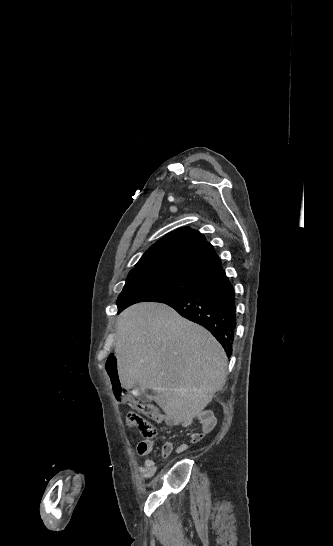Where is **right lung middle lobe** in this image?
<instances>
[{
  "label": "right lung middle lobe",
  "instance_id": "dd1d6c3e",
  "mask_svg": "<svg viewBox=\"0 0 333 546\" xmlns=\"http://www.w3.org/2000/svg\"><path fill=\"white\" fill-rule=\"evenodd\" d=\"M200 282L198 279L163 272L129 275L118 297V313L137 302H162L187 293Z\"/></svg>",
  "mask_w": 333,
  "mask_h": 546
}]
</instances>
